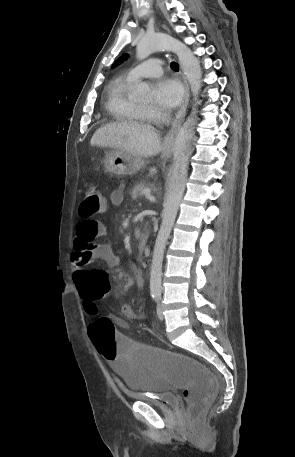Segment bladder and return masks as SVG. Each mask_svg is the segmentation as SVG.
Instances as JSON below:
<instances>
[{
	"label": "bladder",
	"mask_w": 295,
	"mask_h": 457,
	"mask_svg": "<svg viewBox=\"0 0 295 457\" xmlns=\"http://www.w3.org/2000/svg\"><path fill=\"white\" fill-rule=\"evenodd\" d=\"M112 369L124 389L139 399L158 407L159 411H178L179 403L174 393L167 390L165 378L159 374H142L138 366H120L112 363Z\"/></svg>",
	"instance_id": "bladder-1"
}]
</instances>
